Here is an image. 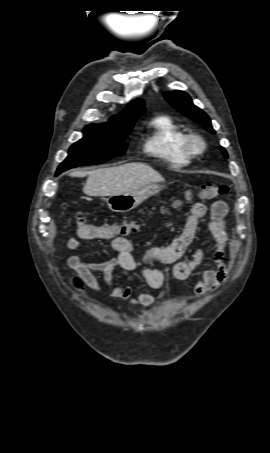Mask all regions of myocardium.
<instances>
[{
  "instance_id": "obj_1",
  "label": "myocardium",
  "mask_w": 270,
  "mask_h": 453,
  "mask_svg": "<svg viewBox=\"0 0 270 453\" xmlns=\"http://www.w3.org/2000/svg\"><path fill=\"white\" fill-rule=\"evenodd\" d=\"M183 145L188 154H190L191 156L202 154L207 147L205 139L198 133L186 134Z\"/></svg>"
}]
</instances>
